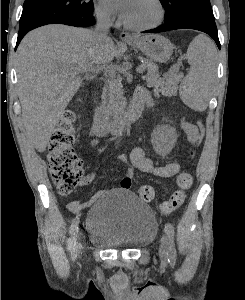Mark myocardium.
<instances>
[{
    "mask_svg": "<svg viewBox=\"0 0 245 300\" xmlns=\"http://www.w3.org/2000/svg\"><path fill=\"white\" fill-rule=\"evenodd\" d=\"M152 2L155 4V6L158 9V18L156 19V21L148 25H134L128 23L125 19H122L124 26L130 30L138 31V32L148 31L159 27L164 22L165 19V8L161 0H152Z\"/></svg>",
    "mask_w": 245,
    "mask_h": 300,
    "instance_id": "1",
    "label": "myocardium"
}]
</instances>
